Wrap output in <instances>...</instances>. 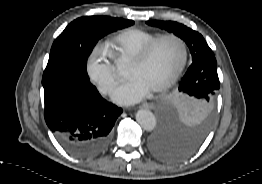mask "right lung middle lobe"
Returning a JSON list of instances; mask_svg holds the SVG:
<instances>
[{
	"instance_id": "1",
	"label": "right lung middle lobe",
	"mask_w": 262,
	"mask_h": 184,
	"mask_svg": "<svg viewBox=\"0 0 262 184\" xmlns=\"http://www.w3.org/2000/svg\"><path fill=\"white\" fill-rule=\"evenodd\" d=\"M133 24L132 20L107 16H86L74 20L54 41L43 78L72 71L87 75L86 61L98 40Z\"/></svg>"
}]
</instances>
